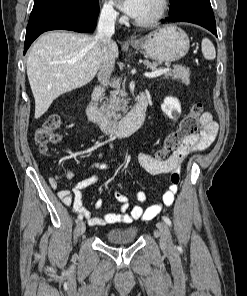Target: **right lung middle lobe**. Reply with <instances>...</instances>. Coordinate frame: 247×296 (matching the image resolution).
Listing matches in <instances>:
<instances>
[{"mask_svg":"<svg viewBox=\"0 0 247 296\" xmlns=\"http://www.w3.org/2000/svg\"><path fill=\"white\" fill-rule=\"evenodd\" d=\"M58 0H35L33 9ZM78 6L85 10H95L99 7L98 0H75Z\"/></svg>","mask_w":247,"mask_h":296,"instance_id":"right-lung-middle-lobe-1","label":"right lung middle lobe"}]
</instances>
